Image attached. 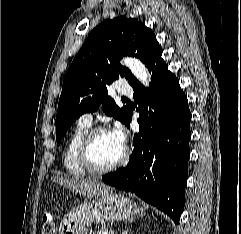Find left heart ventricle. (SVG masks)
I'll return each mask as SVG.
<instances>
[{
  "label": "left heart ventricle",
  "mask_w": 241,
  "mask_h": 234,
  "mask_svg": "<svg viewBox=\"0 0 241 234\" xmlns=\"http://www.w3.org/2000/svg\"><path fill=\"white\" fill-rule=\"evenodd\" d=\"M123 147L110 132L99 134L93 143L91 157L98 166H108L122 155Z\"/></svg>",
  "instance_id": "obj_1"
}]
</instances>
